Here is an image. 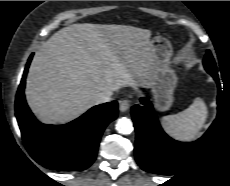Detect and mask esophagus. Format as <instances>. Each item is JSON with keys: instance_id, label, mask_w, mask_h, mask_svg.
<instances>
[{"instance_id": "obj_1", "label": "esophagus", "mask_w": 230, "mask_h": 186, "mask_svg": "<svg viewBox=\"0 0 230 186\" xmlns=\"http://www.w3.org/2000/svg\"><path fill=\"white\" fill-rule=\"evenodd\" d=\"M130 108V104L128 100H121L119 102V109L121 112H126Z\"/></svg>"}]
</instances>
